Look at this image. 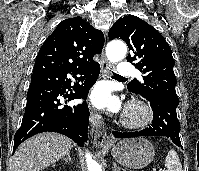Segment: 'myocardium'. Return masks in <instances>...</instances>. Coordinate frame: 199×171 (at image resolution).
Wrapping results in <instances>:
<instances>
[{"label": "myocardium", "instance_id": "myocardium-1", "mask_svg": "<svg viewBox=\"0 0 199 171\" xmlns=\"http://www.w3.org/2000/svg\"><path fill=\"white\" fill-rule=\"evenodd\" d=\"M151 119V107L145 101L134 99L127 105L122 123L126 128L138 129L146 126Z\"/></svg>", "mask_w": 199, "mask_h": 171}]
</instances>
